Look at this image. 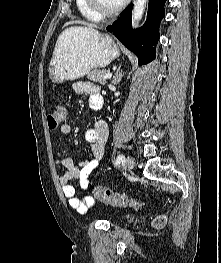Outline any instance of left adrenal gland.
<instances>
[{
    "label": "left adrenal gland",
    "instance_id": "obj_1",
    "mask_svg": "<svg viewBox=\"0 0 221 263\" xmlns=\"http://www.w3.org/2000/svg\"><path fill=\"white\" fill-rule=\"evenodd\" d=\"M123 75H124V72L121 70V66H119L115 75L113 76L112 84L119 83Z\"/></svg>",
    "mask_w": 221,
    "mask_h": 263
}]
</instances>
